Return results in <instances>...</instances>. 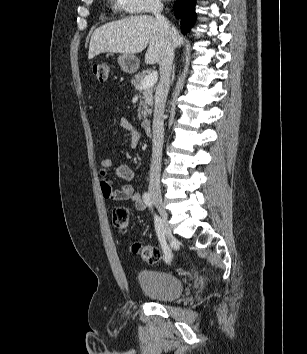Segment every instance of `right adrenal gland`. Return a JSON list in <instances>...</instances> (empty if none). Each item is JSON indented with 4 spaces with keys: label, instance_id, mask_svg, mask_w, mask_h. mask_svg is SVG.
<instances>
[{
    "label": "right adrenal gland",
    "instance_id": "1",
    "mask_svg": "<svg viewBox=\"0 0 307 354\" xmlns=\"http://www.w3.org/2000/svg\"><path fill=\"white\" fill-rule=\"evenodd\" d=\"M174 76H175V65L173 66V77H172V80L174 79Z\"/></svg>",
    "mask_w": 307,
    "mask_h": 354
}]
</instances>
